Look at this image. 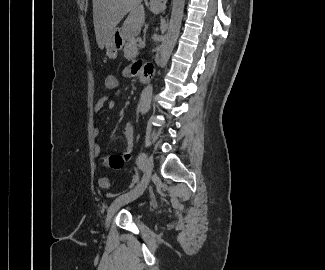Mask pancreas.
<instances>
[{
	"label": "pancreas",
	"mask_w": 325,
	"mask_h": 270,
	"mask_svg": "<svg viewBox=\"0 0 325 270\" xmlns=\"http://www.w3.org/2000/svg\"><path fill=\"white\" fill-rule=\"evenodd\" d=\"M137 39H129L124 47V57L128 60L135 58L138 55Z\"/></svg>",
	"instance_id": "pancreas-1"
}]
</instances>
